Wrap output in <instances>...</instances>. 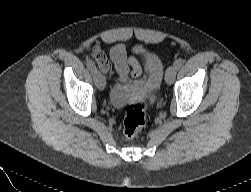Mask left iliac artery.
<instances>
[{
  "label": "left iliac artery",
  "mask_w": 251,
  "mask_h": 192,
  "mask_svg": "<svg viewBox=\"0 0 251 192\" xmlns=\"http://www.w3.org/2000/svg\"><path fill=\"white\" fill-rule=\"evenodd\" d=\"M183 64V60L182 59H178L174 62V66L176 69H179Z\"/></svg>",
  "instance_id": "left-iliac-artery-1"
}]
</instances>
